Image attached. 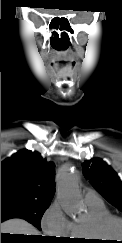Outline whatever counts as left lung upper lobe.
<instances>
[{
	"mask_svg": "<svg viewBox=\"0 0 122 243\" xmlns=\"http://www.w3.org/2000/svg\"><path fill=\"white\" fill-rule=\"evenodd\" d=\"M84 176L113 206L122 211V184L118 175L103 160L94 158L82 163Z\"/></svg>",
	"mask_w": 122,
	"mask_h": 243,
	"instance_id": "left-lung-upper-lobe-1",
	"label": "left lung upper lobe"
}]
</instances>
